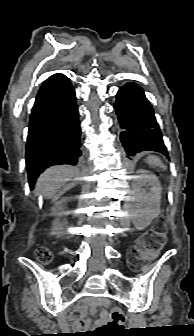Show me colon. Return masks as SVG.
I'll list each match as a JSON object with an SVG mask.
<instances>
[{"label": "colon", "instance_id": "obj_1", "mask_svg": "<svg viewBox=\"0 0 194 336\" xmlns=\"http://www.w3.org/2000/svg\"><path fill=\"white\" fill-rule=\"evenodd\" d=\"M166 229L162 223H159L156 228L149 231L144 238L143 248H132L129 251L128 262L131 267H137L138 264L147 258H151L160 252L165 243ZM37 258L49 263L52 261V254L44 247H40L36 251ZM125 315L119 307H114L110 310L108 321L103 324L97 331L91 335H105L111 332L118 331L124 327Z\"/></svg>", "mask_w": 194, "mask_h": 336}]
</instances>
